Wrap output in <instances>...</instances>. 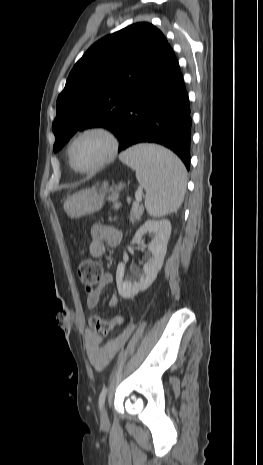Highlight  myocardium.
I'll return each mask as SVG.
<instances>
[{
    "label": "myocardium",
    "mask_w": 263,
    "mask_h": 465,
    "mask_svg": "<svg viewBox=\"0 0 263 465\" xmlns=\"http://www.w3.org/2000/svg\"><path fill=\"white\" fill-rule=\"evenodd\" d=\"M92 133H97L100 135H103L109 142V151L107 155L94 167L89 168V169H80L78 168L72 158V148L76 141L80 139L81 137L92 134ZM119 150V140L117 135L113 130L110 128H107L105 126H90L87 128L82 129L79 131L69 142L68 148H67V157H68V162L70 167L77 173L80 174H92L100 171L103 169L105 166L110 164L117 156Z\"/></svg>",
    "instance_id": "f54148a6"
}]
</instances>
